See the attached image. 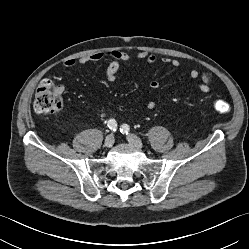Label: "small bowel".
<instances>
[{"instance_id":"1","label":"small bowel","mask_w":249,"mask_h":249,"mask_svg":"<svg viewBox=\"0 0 249 249\" xmlns=\"http://www.w3.org/2000/svg\"><path fill=\"white\" fill-rule=\"evenodd\" d=\"M103 59H108L109 63L105 70V77L108 81L114 82L117 79L118 72L122 63H128L131 61H145L149 64L161 61L163 63L169 64L174 68H179L181 66V61L177 58L163 57L159 59L156 55L149 54L146 51L138 52L134 57L130 56L128 53L121 50H112L108 52H97L91 55H86L81 57L78 61L74 59H68L64 62L66 67H74L77 63L87 64L91 62H98ZM189 77L192 80L201 78V82L198 84V89L203 93H208L211 90L212 85V75L208 72L200 74L196 68H192L189 71ZM62 90V87H60ZM149 88L152 91H157L160 88L158 81H152L149 84ZM147 109L152 110L156 107V101L150 100L147 105Z\"/></svg>"}]
</instances>
